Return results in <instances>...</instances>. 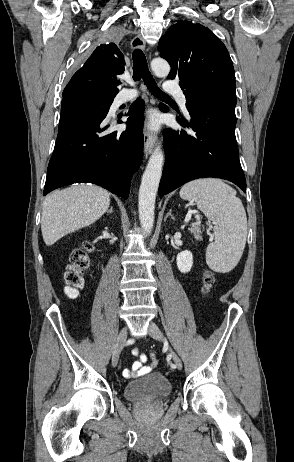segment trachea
<instances>
[{"label": "trachea", "instance_id": "3493384b", "mask_svg": "<svg viewBox=\"0 0 294 462\" xmlns=\"http://www.w3.org/2000/svg\"><path fill=\"white\" fill-rule=\"evenodd\" d=\"M141 78L144 80L145 85L153 95L159 98L170 99L167 94L158 88L153 76L148 69L144 53L140 49H135L133 51V79L138 81Z\"/></svg>", "mask_w": 294, "mask_h": 462}]
</instances>
